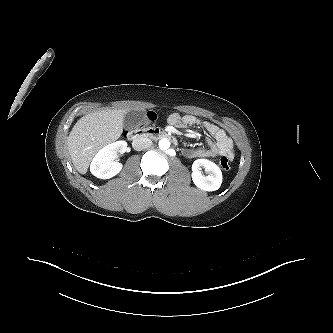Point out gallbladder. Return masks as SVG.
Returning a JSON list of instances; mask_svg holds the SVG:
<instances>
[{
    "label": "gallbladder",
    "instance_id": "gallbladder-1",
    "mask_svg": "<svg viewBox=\"0 0 333 333\" xmlns=\"http://www.w3.org/2000/svg\"><path fill=\"white\" fill-rule=\"evenodd\" d=\"M144 118L145 112L143 110L131 111L125 116L124 127L133 130L144 121Z\"/></svg>",
    "mask_w": 333,
    "mask_h": 333
}]
</instances>
